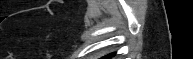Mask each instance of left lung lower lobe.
Here are the masks:
<instances>
[{
	"instance_id": "left-lung-lower-lobe-1",
	"label": "left lung lower lobe",
	"mask_w": 193,
	"mask_h": 59,
	"mask_svg": "<svg viewBox=\"0 0 193 59\" xmlns=\"http://www.w3.org/2000/svg\"><path fill=\"white\" fill-rule=\"evenodd\" d=\"M115 54L111 53L103 57V59H110L114 56Z\"/></svg>"
}]
</instances>
